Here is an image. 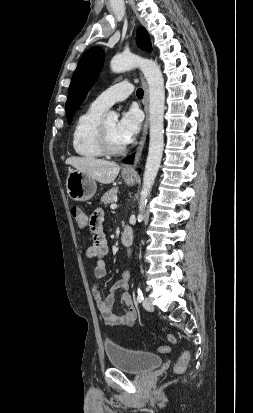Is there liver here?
Wrapping results in <instances>:
<instances>
[{"label": "liver", "mask_w": 253, "mask_h": 413, "mask_svg": "<svg viewBox=\"0 0 253 413\" xmlns=\"http://www.w3.org/2000/svg\"><path fill=\"white\" fill-rule=\"evenodd\" d=\"M65 164L73 166L103 184L112 183L120 171L117 163L93 157H70Z\"/></svg>", "instance_id": "liver-1"}]
</instances>
